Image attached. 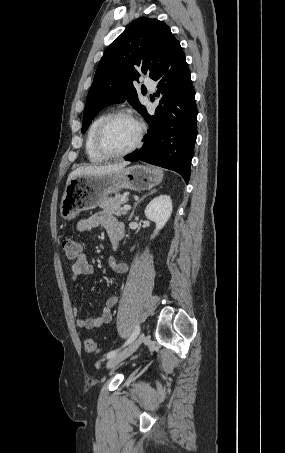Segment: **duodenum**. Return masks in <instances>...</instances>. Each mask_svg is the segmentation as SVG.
I'll list each match as a JSON object with an SVG mask.
<instances>
[{"label":"duodenum","instance_id":"410a0bca","mask_svg":"<svg viewBox=\"0 0 285 453\" xmlns=\"http://www.w3.org/2000/svg\"><path fill=\"white\" fill-rule=\"evenodd\" d=\"M116 246H117L116 244L113 245L114 248H116Z\"/></svg>","mask_w":285,"mask_h":453}]
</instances>
